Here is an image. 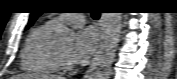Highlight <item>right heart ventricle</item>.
Instances as JSON below:
<instances>
[{"instance_id":"e07e8e85","label":"right heart ventricle","mask_w":177,"mask_h":79,"mask_svg":"<svg viewBox=\"0 0 177 79\" xmlns=\"http://www.w3.org/2000/svg\"><path fill=\"white\" fill-rule=\"evenodd\" d=\"M53 29L54 26L47 22L32 30L22 49V70L43 75L59 72L58 49L51 42Z\"/></svg>"}]
</instances>
